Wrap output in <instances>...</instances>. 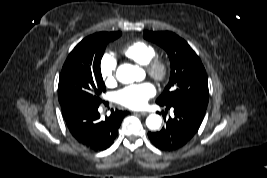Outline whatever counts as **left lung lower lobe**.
<instances>
[{
  "instance_id": "1",
  "label": "left lung lower lobe",
  "mask_w": 267,
  "mask_h": 178,
  "mask_svg": "<svg viewBox=\"0 0 267 178\" xmlns=\"http://www.w3.org/2000/svg\"><path fill=\"white\" fill-rule=\"evenodd\" d=\"M174 112V117H169L166 125L158 132L148 133L152 144L165 151L176 150L186 145L197 133L204 113L179 104L161 105Z\"/></svg>"
}]
</instances>
